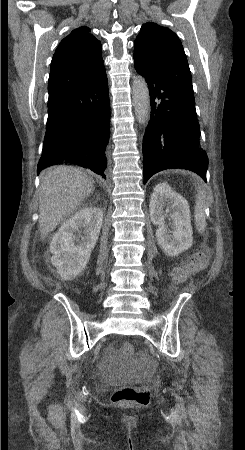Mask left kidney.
I'll return each instance as SVG.
<instances>
[{
    "instance_id": "obj_1",
    "label": "left kidney",
    "mask_w": 245,
    "mask_h": 450,
    "mask_svg": "<svg viewBox=\"0 0 245 450\" xmlns=\"http://www.w3.org/2000/svg\"><path fill=\"white\" fill-rule=\"evenodd\" d=\"M165 209L167 212H165ZM150 219L158 225L156 238L162 250L169 256H178L193 244L190 209L187 200L174 192L166 183L155 186L149 204ZM169 214L171 229L165 224Z\"/></svg>"
}]
</instances>
